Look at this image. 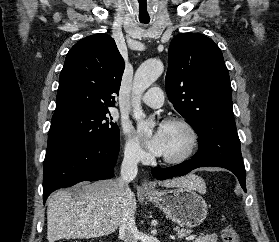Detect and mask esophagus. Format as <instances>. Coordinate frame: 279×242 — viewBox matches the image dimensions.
<instances>
[{
  "label": "esophagus",
  "mask_w": 279,
  "mask_h": 242,
  "mask_svg": "<svg viewBox=\"0 0 279 242\" xmlns=\"http://www.w3.org/2000/svg\"><path fill=\"white\" fill-rule=\"evenodd\" d=\"M141 188H142V190L145 191V192H152V191L155 190L154 185H153L151 182L147 181V180H145V181L142 183V187H141Z\"/></svg>",
  "instance_id": "esophagus-1"
}]
</instances>
